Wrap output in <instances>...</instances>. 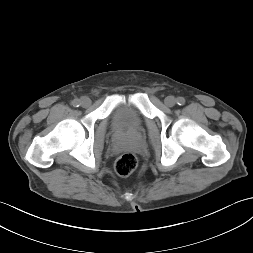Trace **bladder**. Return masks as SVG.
<instances>
[{"mask_svg":"<svg viewBox=\"0 0 253 253\" xmlns=\"http://www.w3.org/2000/svg\"><path fill=\"white\" fill-rule=\"evenodd\" d=\"M111 124L116 133L134 134L142 128L143 121L132 106L121 104L114 110Z\"/></svg>","mask_w":253,"mask_h":253,"instance_id":"obj_1","label":"bladder"}]
</instances>
